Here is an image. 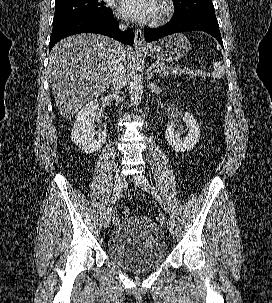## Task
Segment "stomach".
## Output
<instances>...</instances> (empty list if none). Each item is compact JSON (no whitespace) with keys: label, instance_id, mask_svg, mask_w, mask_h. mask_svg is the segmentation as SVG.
I'll use <instances>...</instances> for the list:
<instances>
[{"label":"stomach","instance_id":"0dacf381","mask_svg":"<svg viewBox=\"0 0 272 303\" xmlns=\"http://www.w3.org/2000/svg\"><path fill=\"white\" fill-rule=\"evenodd\" d=\"M190 41L181 33L170 35L146 49L150 56L160 62L176 61L187 55Z\"/></svg>","mask_w":272,"mask_h":303}]
</instances>
